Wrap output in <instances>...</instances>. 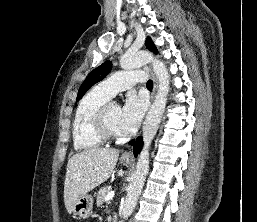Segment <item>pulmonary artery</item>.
Here are the masks:
<instances>
[{
    "label": "pulmonary artery",
    "mask_w": 257,
    "mask_h": 222,
    "mask_svg": "<svg viewBox=\"0 0 257 222\" xmlns=\"http://www.w3.org/2000/svg\"><path fill=\"white\" fill-rule=\"evenodd\" d=\"M146 79L144 72L119 71L99 83V89L111 97L119 91L128 89L136 83H143Z\"/></svg>",
    "instance_id": "e3ab8cb5"
}]
</instances>
